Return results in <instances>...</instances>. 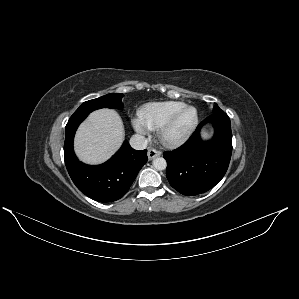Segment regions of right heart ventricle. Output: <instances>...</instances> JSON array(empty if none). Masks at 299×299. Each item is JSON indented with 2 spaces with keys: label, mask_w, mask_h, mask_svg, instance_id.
<instances>
[{
  "label": "right heart ventricle",
  "mask_w": 299,
  "mask_h": 299,
  "mask_svg": "<svg viewBox=\"0 0 299 299\" xmlns=\"http://www.w3.org/2000/svg\"><path fill=\"white\" fill-rule=\"evenodd\" d=\"M180 101L151 102L144 105L140 112V120L150 130L159 129L163 123L177 110L185 106Z\"/></svg>",
  "instance_id": "right-heart-ventricle-1"
}]
</instances>
